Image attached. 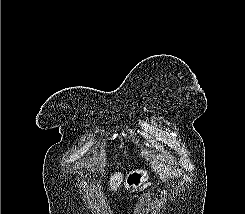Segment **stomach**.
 <instances>
[{"mask_svg":"<svg viewBox=\"0 0 245 214\" xmlns=\"http://www.w3.org/2000/svg\"><path fill=\"white\" fill-rule=\"evenodd\" d=\"M148 172L144 169H136L131 171L125 179L126 188H141L146 186L149 182Z\"/></svg>","mask_w":245,"mask_h":214,"instance_id":"obj_1","label":"stomach"}]
</instances>
